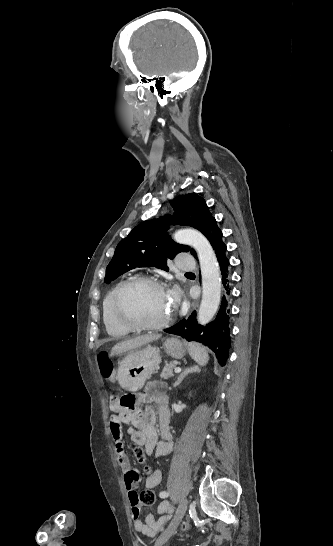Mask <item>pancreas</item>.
I'll return each mask as SVG.
<instances>
[{"mask_svg":"<svg viewBox=\"0 0 333 546\" xmlns=\"http://www.w3.org/2000/svg\"><path fill=\"white\" fill-rule=\"evenodd\" d=\"M175 368V362H170L166 364L160 374L161 378L164 380H167L168 378H171L174 376L173 369Z\"/></svg>","mask_w":333,"mask_h":546,"instance_id":"obj_1","label":"pancreas"}]
</instances>
